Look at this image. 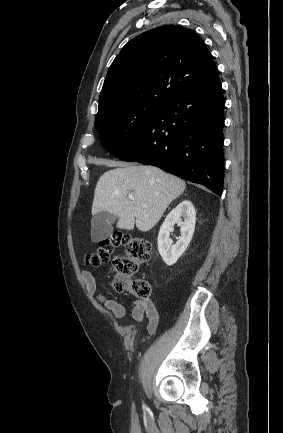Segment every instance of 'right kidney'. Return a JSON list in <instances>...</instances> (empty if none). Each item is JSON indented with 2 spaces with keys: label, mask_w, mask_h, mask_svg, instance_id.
I'll use <instances>...</instances> for the list:
<instances>
[{
  "label": "right kidney",
  "mask_w": 283,
  "mask_h": 433,
  "mask_svg": "<svg viewBox=\"0 0 283 433\" xmlns=\"http://www.w3.org/2000/svg\"><path fill=\"white\" fill-rule=\"evenodd\" d=\"M196 211L193 204L184 200L179 203L165 218L158 234V250L163 261L171 266L183 255L188 247L195 230ZM180 226L181 237L172 244L170 231L173 225Z\"/></svg>",
  "instance_id": "right-kidney-1"
}]
</instances>
